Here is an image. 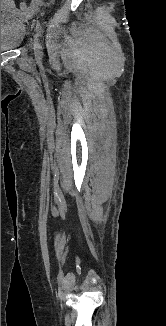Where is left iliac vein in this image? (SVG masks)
<instances>
[{
	"label": "left iliac vein",
	"mask_w": 166,
	"mask_h": 326,
	"mask_svg": "<svg viewBox=\"0 0 166 326\" xmlns=\"http://www.w3.org/2000/svg\"><path fill=\"white\" fill-rule=\"evenodd\" d=\"M33 49H34L35 56L37 58H40L42 56V52H41V46L37 34H35L33 39Z\"/></svg>",
	"instance_id": "1"
}]
</instances>
